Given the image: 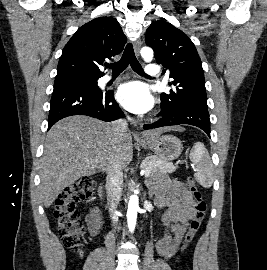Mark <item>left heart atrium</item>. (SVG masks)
<instances>
[{
    "label": "left heart atrium",
    "mask_w": 267,
    "mask_h": 270,
    "mask_svg": "<svg viewBox=\"0 0 267 270\" xmlns=\"http://www.w3.org/2000/svg\"><path fill=\"white\" fill-rule=\"evenodd\" d=\"M117 100L125 109L134 113H146L154 104L148 87L138 81L121 85L117 91Z\"/></svg>",
    "instance_id": "obj_1"
}]
</instances>
